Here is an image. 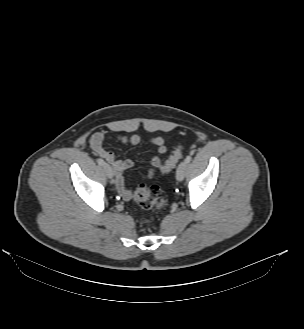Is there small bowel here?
I'll return each mask as SVG.
<instances>
[{
	"instance_id": "1",
	"label": "small bowel",
	"mask_w": 304,
	"mask_h": 329,
	"mask_svg": "<svg viewBox=\"0 0 304 329\" xmlns=\"http://www.w3.org/2000/svg\"><path fill=\"white\" fill-rule=\"evenodd\" d=\"M117 140L125 145H137L140 143L141 138L136 135H119ZM106 136L103 132H95L89 139V148L98 156L103 158L108 165L115 172V186L119 194L124 199H129L131 196L130 190L125 185V180L123 177V172L133 166V161L131 159H117L114 153L107 151L105 148ZM150 143L157 149L158 154L164 155L167 152V146L163 137L154 136L150 138ZM160 158L158 156H153L151 158V164L153 169L149 170L147 177H152L154 174V168L160 165Z\"/></svg>"
}]
</instances>
